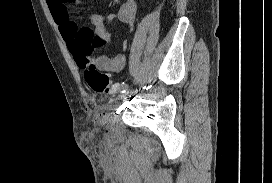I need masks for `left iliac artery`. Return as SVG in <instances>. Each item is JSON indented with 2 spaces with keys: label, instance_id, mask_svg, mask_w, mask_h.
<instances>
[{
  "label": "left iliac artery",
  "instance_id": "44dca946",
  "mask_svg": "<svg viewBox=\"0 0 272 183\" xmlns=\"http://www.w3.org/2000/svg\"><path fill=\"white\" fill-rule=\"evenodd\" d=\"M129 89V85L128 84H125L123 83L121 86H120V92L122 94L126 93V91Z\"/></svg>",
  "mask_w": 272,
  "mask_h": 183
}]
</instances>
